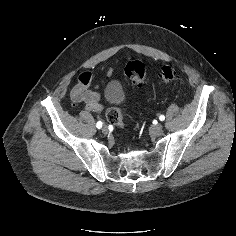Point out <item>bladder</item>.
<instances>
[{"instance_id": "1", "label": "bladder", "mask_w": 236, "mask_h": 236, "mask_svg": "<svg viewBox=\"0 0 236 236\" xmlns=\"http://www.w3.org/2000/svg\"><path fill=\"white\" fill-rule=\"evenodd\" d=\"M104 97L109 105L117 107L123 103L124 91L119 83L112 81L106 85Z\"/></svg>"}]
</instances>
